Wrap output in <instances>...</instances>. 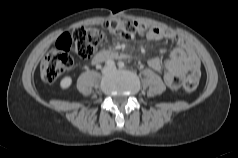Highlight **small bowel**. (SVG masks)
Returning <instances> with one entry per match:
<instances>
[{
  "instance_id": "1",
  "label": "small bowel",
  "mask_w": 238,
  "mask_h": 158,
  "mask_svg": "<svg viewBox=\"0 0 238 158\" xmlns=\"http://www.w3.org/2000/svg\"><path fill=\"white\" fill-rule=\"evenodd\" d=\"M146 28L148 32L145 36L148 39H167L176 43L177 47L172 50L167 60L162 61L159 57H153L148 61V65L155 71H163L166 85L171 89H177L189 72L200 68L197 54L193 47L175 32L162 27Z\"/></svg>"
}]
</instances>
